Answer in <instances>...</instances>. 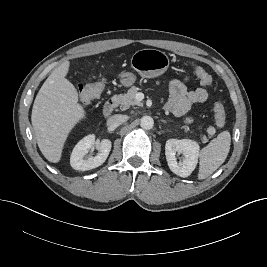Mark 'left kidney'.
Returning a JSON list of instances; mask_svg holds the SVG:
<instances>
[{
    "mask_svg": "<svg viewBox=\"0 0 267 267\" xmlns=\"http://www.w3.org/2000/svg\"><path fill=\"white\" fill-rule=\"evenodd\" d=\"M176 153L183 154L182 161L177 162ZM200 153L199 144L191 139H169L165 145V155L170 170L180 176L188 177L196 168Z\"/></svg>",
    "mask_w": 267,
    "mask_h": 267,
    "instance_id": "1",
    "label": "left kidney"
}]
</instances>
